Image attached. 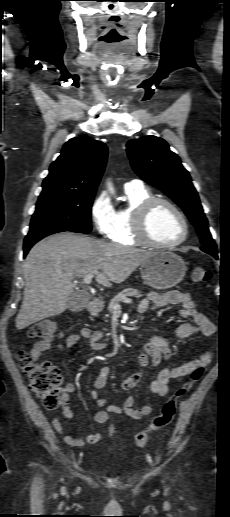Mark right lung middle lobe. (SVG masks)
I'll return each mask as SVG.
<instances>
[{
    "mask_svg": "<svg viewBox=\"0 0 230 517\" xmlns=\"http://www.w3.org/2000/svg\"><path fill=\"white\" fill-rule=\"evenodd\" d=\"M94 195L95 193H73L39 197L28 235L55 229L91 231Z\"/></svg>",
    "mask_w": 230,
    "mask_h": 517,
    "instance_id": "1",
    "label": "right lung middle lobe"
}]
</instances>
